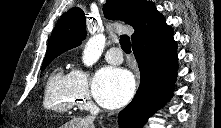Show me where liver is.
Returning <instances> with one entry per match:
<instances>
[{
  "mask_svg": "<svg viewBox=\"0 0 221 128\" xmlns=\"http://www.w3.org/2000/svg\"><path fill=\"white\" fill-rule=\"evenodd\" d=\"M62 128H94L93 121L88 118H73L66 123Z\"/></svg>",
  "mask_w": 221,
  "mask_h": 128,
  "instance_id": "6515ba94",
  "label": "liver"
}]
</instances>
